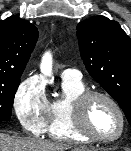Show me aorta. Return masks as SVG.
<instances>
[{
    "label": "aorta",
    "instance_id": "aorta-1",
    "mask_svg": "<svg viewBox=\"0 0 131 151\" xmlns=\"http://www.w3.org/2000/svg\"><path fill=\"white\" fill-rule=\"evenodd\" d=\"M51 70H52V59L49 54H46L41 63V72L45 75H51Z\"/></svg>",
    "mask_w": 131,
    "mask_h": 151
}]
</instances>
